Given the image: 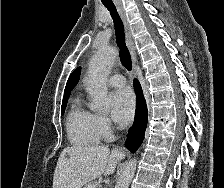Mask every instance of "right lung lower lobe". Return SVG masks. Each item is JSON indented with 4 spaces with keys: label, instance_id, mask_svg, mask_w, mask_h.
<instances>
[{
    "label": "right lung lower lobe",
    "instance_id": "obj_1",
    "mask_svg": "<svg viewBox=\"0 0 224 188\" xmlns=\"http://www.w3.org/2000/svg\"><path fill=\"white\" fill-rule=\"evenodd\" d=\"M134 88L137 96L135 121L128 132L126 141V147L132 153L136 152L143 142L148 116L146 101L143 96L141 85L136 79L134 80Z\"/></svg>",
    "mask_w": 224,
    "mask_h": 188
}]
</instances>
